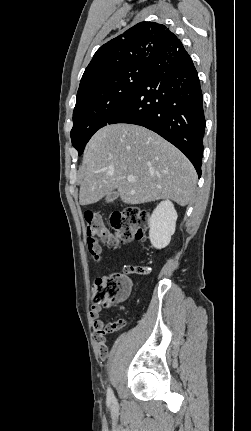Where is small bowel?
<instances>
[{
    "mask_svg": "<svg viewBox=\"0 0 251 431\" xmlns=\"http://www.w3.org/2000/svg\"><path fill=\"white\" fill-rule=\"evenodd\" d=\"M149 272L148 268H145V273L147 274ZM102 310L101 306L94 305L90 311V319L92 323V328L95 333V340L100 346V352L98 353V356L100 357V360L102 362H107L109 360V355L107 352H109V347L105 345V337L107 334L119 329H111L110 325H105V323L100 319V312Z\"/></svg>",
    "mask_w": 251,
    "mask_h": 431,
    "instance_id": "1",
    "label": "small bowel"
}]
</instances>
